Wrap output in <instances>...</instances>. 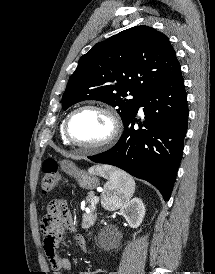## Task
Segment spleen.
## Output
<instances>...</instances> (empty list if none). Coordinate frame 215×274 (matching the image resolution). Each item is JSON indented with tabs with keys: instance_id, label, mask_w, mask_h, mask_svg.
<instances>
[{
	"instance_id": "spleen-1",
	"label": "spleen",
	"mask_w": 215,
	"mask_h": 274,
	"mask_svg": "<svg viewBox=\"0 0 215 274\" xmlns=\"http://www.w3.org/2000/svg\"><path fill=\"white\" fill-rule=\"evenodd\" d=\"M89 173H95L108 179L104 185L101 203L107 210H115L126 204L135 191V181L127 173L111 166H94Z\"/></svg>"
}]
</instances>
